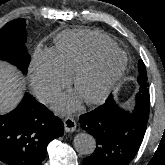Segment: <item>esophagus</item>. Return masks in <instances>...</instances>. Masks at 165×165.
<instances>
[{
    "mask_svg": "<svg viewBox=\"0 0 165 165\" xmlns=\"http://www.w3.org/2000/svg\"><path fill=\"white\" fill-rule=\"evenodd\" d=\"M66 132H73L76 130V121L73 118H66L63 120Z\"/></svg>",
    "mask_w": 165,
    "mask_h": 165,
    "instance_id": "1",
    "label": "esophagus"
}]
</instances>
